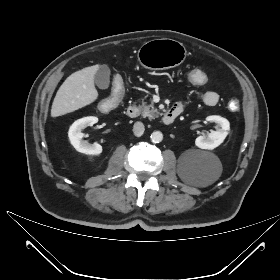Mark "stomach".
<instances>
[{"label":"stomach","mask_w":280,"mask_h":280,"mask_svg":"<svg viewBox=\"0 0 280 280\" xmlns=\"http://www.w3.org/2000/svg\"><path fill=\"white\" fill-rule=\"evenodd\" d=\"M186 48L179 41L163 38L144 43L138 50L139 63L146 69L165 70L184 62Z\"/></svg>","instance_id":"obj_1"}]
</instances>
